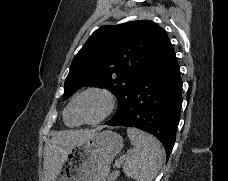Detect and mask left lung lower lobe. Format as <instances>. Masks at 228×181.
<instances>
[{"label":"left lung lower lobe","mask_w":228,"mask_h":181,"mask_svg":"<svg viewBox=\"0 0 228 181\" xmlns=\"http://www.w3.org/2000/svg\"><path fill=\"white\" fill-rule=\"evenodd\" d=\"M182 106V80L172 45L141 72L124 116L109 126H131L146 131L163 144L167 160L175 143Z\"/></svg>","instance_id":"1"}]
</instances>
